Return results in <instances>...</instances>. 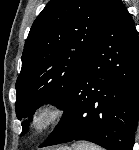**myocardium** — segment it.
Here are the masks:
<instances>
[{"instance_id":"myocardium-1","label":"myocardium","mask_w":139,"mask_h":150,"mask_svg":"<svg viewBox=\"0 0 139 150\" xmlns=\"http://www.w3.org/2000/svg\"><path fill=\"white\" fill-rule=\"evenodd\" d=\"M64 115L63 106L54 100H49L39 105L34 111L30 128L33 132L41 134L56 125Z\"/></svg>"}]
</instances>
